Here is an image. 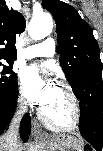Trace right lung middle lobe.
<instances>
[{
    "label": "right lung middle lobe",
    "instance_id": "dd1d6c3e",
    "mask_svg": "<svg viewBox=\"0 0 103 151\" xmlns=\"http://www.w3.org/2000/svg\"><path fill=\"white\" fill-rule=\"evenodd\" d=\"M10 63V62H9ZM18 93L17 75L0 61V94L14 97Z\"/></svg>",
    "mask_w": 103,
    "mask_h": 151
}]
</instances>
